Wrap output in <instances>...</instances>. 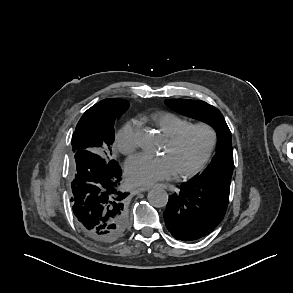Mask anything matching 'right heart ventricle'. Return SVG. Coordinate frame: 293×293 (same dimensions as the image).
<instances>
[{
  "instance_id": "right-heart-ventricle-1",
  "label": "right heart ventricle",
  "mask_w": 293,
  "mask_h": 293,
  "mask_svg": "<svg viewBox=\"0 0 293 293\" xmlns=\"http://www.w3.org/2000/svg\"><path fill=\"white\" fill-rule=\"evenodd\" d=\"M151 120L166 138L191 124L187 118L170 112L155 113L151 116Z\"/></svg>"
}]
</instances>
